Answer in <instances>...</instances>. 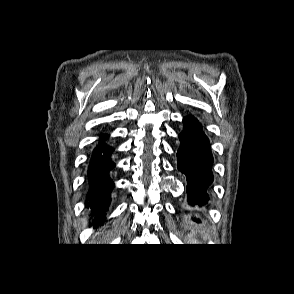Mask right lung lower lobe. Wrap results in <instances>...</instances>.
I'll return each mask as SVG.
<instances>
[{"label": "right lung lower lobe", "instance_id": "98d812e1", "mask_svg": "<svg viewBox=\"0 0 294 294\" xmlns=\"http://www.w3.org/2000/svg\"><path fill=\"white\" fill-rule=\"evenodd\" d=\"M107 137L108 135H100L101 140ZM112 151V148L100 142L93 151L91 163L88 168L90 190L88 193L89 202L86 206L90 207L93 211H98L99 214V217H96L93 221L94 226L103 224L104 214L102 211L107 209L110 202V192L114 187L108 175L109 171L114 167V164L110 160Z\"/></svg>", "mask_w": 294, "mask_h": 294}]
</instances>
